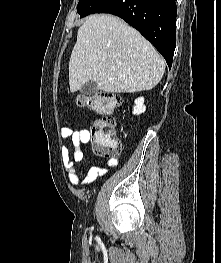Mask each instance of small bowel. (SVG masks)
Returning <instances> with one entry per match:
<instances>
[{"label": "small bowel", "instance_id": "obj_1", "mask_svg": "<svg viewBox=\"0 0 221 263\" xmlns=\"http://www.w3.org/2000/svg\"><path fill=\"white\" fill-rule=\"evenodd\" d=\"M60 135L67 140V145L62 148V155L66 162L68 178L71 184L78 185L81 178H83L82 185H89L98 177L106 175L107 167H116L118 165L116 159H111L101 166H92L86 171L76 169L75 164L84 159V152L80 149V145L89 143L90 133L86 129L74 130L64 127L60 130ZM71 149L73 150L72 159L70 158Z\"/></svg>", "mask_w": 221, "mask_h": 263}]
</instances>
